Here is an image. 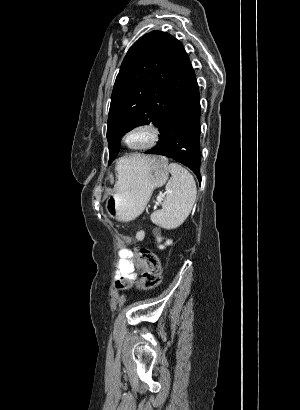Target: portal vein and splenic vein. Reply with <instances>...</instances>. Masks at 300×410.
Returning <instances> with one entry per match:
<instances>
[{
    "instance_id": "18ae733b",
    "label": "portal vein and splenic vein",
    "mask_w": 300,
    "mask_h": 410,
    "mask_svg": "<svg viewBox=\"0 0 300 410\" xmlns=\"http://www.w3.org/2000/svg\"><path fill=\"white\" fill-rule=\"evenodd\" d=\"M165 196V193L164 194H160L157 198L158 199H161L162 197H164Z\"/></svg>"
}]
</instances>
